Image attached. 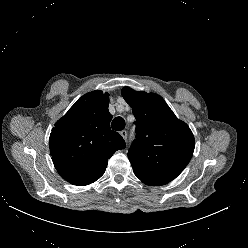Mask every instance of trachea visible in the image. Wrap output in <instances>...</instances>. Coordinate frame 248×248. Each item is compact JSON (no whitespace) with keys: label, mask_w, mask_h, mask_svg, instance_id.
<instances>
[{"label":"trachea","mask_w":248,"mask_h":248,"mask_svg":"<svg viewBox=\"0 0 248 248\" xmlns=\"http://www.w3.org/2000/svg\"><path fill=\"white\" fill-rule=\"evenodd\" d=\"M112 129L115 131H121L125 127V120L122 117H116L112 121Z\"/></svg>","instance_id":"1"}]
</instances>
